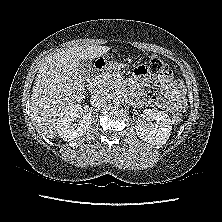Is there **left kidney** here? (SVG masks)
I'll return each instance as SVG.
<instances>
[{
    "instance_id": "1",
    "label": "left kidney",
    "mask_w": 222,
    "mask_h": 222,
    "mask_svg": "<svg viewBox=\"0 0 222 222\" xmlns=\"http://www.w3.org/2000/svg\"><path fill=\"white\" fill-rule=\"evenodd\" d=\"M143 120L135 125L136 134L151 145H164L172 130V121L164 111L145 109ZM154 121V122H153Z\"/></svg>"
}]
</instances>
